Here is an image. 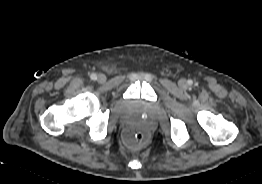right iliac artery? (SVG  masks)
Here are the masks:
<instances>
[{"label": "right iliac artery", "mask_w": 262, "mask_h": 184, "mask_svg": "<svg viewBox=\"0 0 262 184\" xmlns=\"http://www.w3.org/2000/svg\"><path fill=\"white\" fill-rule=\"evenodd\" d=\"M90 78H91L92 80H96V79H97V75H96L95 73H92V74L90 75Z\"/></svg>", "instance_id": "right-iliac-artery-1"}]
</instances>
